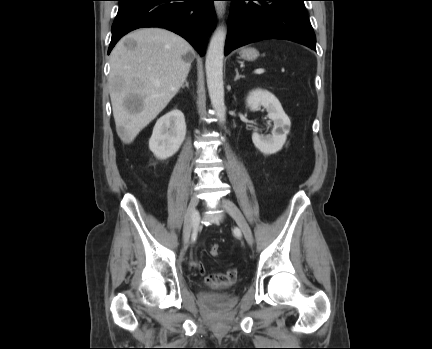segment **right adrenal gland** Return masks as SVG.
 <instances>
[{"label": "right adrenal gland", "mask_w": 432, "mask_h": 349, "mask_svg": "<svg viewBox=\"0 0 432 349\" xmlns=\"http://www.w3.org/2000/svg\"><path fill=\"white\" fill-rule=\"evenodd\" d=\"M184 87L189 88V83L187 80H185L184 84L182 85V88H184Z\"/></svg>", "instance_id": "obj_1"}]
</instances>
